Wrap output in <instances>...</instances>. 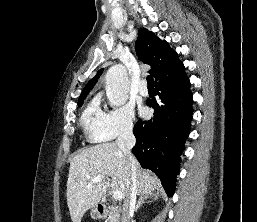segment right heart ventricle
I'll return each mask as SVG.
<instances>
[{
    "label": "right heart ventricle",
    "mask_w": 257,
    "mask_h": 222,
    "mask_svg": "<svg viewBox=\"0 0 257 222\" xmlns=\"http://www.w3.org/2000/svg\"><path fill=\"white\" fill-rule=\"evenodd\" d=\"M102 116L100 102L96 97L88 103L81 115V126L92 141H101L98 135Z\"/></svg>",
    "instance_id": "right-heart-ventricle-1"
}]
</instances>
